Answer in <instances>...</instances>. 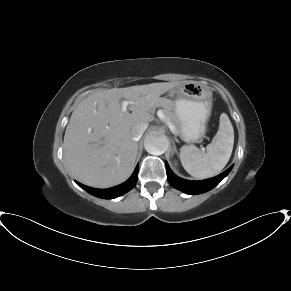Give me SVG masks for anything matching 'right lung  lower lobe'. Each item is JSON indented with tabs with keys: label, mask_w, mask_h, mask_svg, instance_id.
I'll return each mask as SVG.
<instances>
[{
	"label": "right lung lower lobe",
	"mask_w": 291,
	"mask_h": 291,
	"mask_svg": "<svg viewBox=\"0 0 291 291\" xmlns=\"http://www.w3.org/2000/svg\"><path fill=\"white\" fill-rule=\"evenodd\" d=\"M137 178H138V165L136 166L133 174L131 175V177L127 181H125L124 183L117 185L115 187H111L108 189H95V188L85 186L77 181H76V183L81 188L86 190L88 193H90L96 197L103 198V199H113V198L119 197V196L125 194L126 192H128L129 190H131L135 186V184L137 182Z\"/></svg>",
	"instance_id": "1"
}]
</instances>
